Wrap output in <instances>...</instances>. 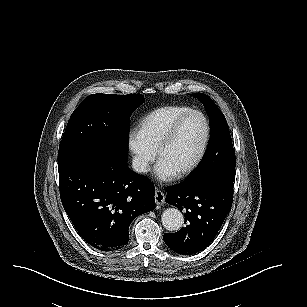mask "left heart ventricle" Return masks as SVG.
Instances as JSON below:
<instances>
[{
    "label": "left heart ventricle",
    "mask_w": 307,
    "mask_h": 307,
    "mask_svg": "<svg viewBox=\"0 0 307 307\" xmlns=\"http://www.w3.org/2000/svg\"><path fill=\"white\" fill-rule=\"evenodd\" d=\"M180 134L176 135L173 144L165 147V158L169 163H180L187 166L195 157L202 139V129L198 127L197 118H186Z\"/></svg>",
    "instance_id": "b2bd125f"
}]
</instances>
